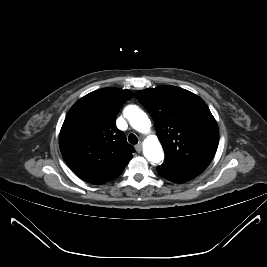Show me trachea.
Instances as JSON below:
<instances>
[{
    "label": "trachea",
    "instance_id": "trachea-1",
    "mask_svg": "<svg viewBox=\"0 0 267 267\" xmlns=\"http://www.w3.org/2000/svg\"><path fill=\"white\" fill-rule=\"evenodd\" d=\"M128 141L131 144H137L138 143V138L136 137V135H134V134L131 133L129 135V137H128Z\"/></svg>",
    "mask_w": 267,
    "mask_h": 267
}]
</instances>
